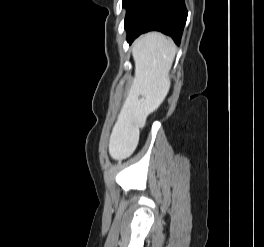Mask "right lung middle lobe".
Instances as JSON below:
<instances>
[{"label":"right lung middle lobe","mask_w":264,"mask_h":247,"mask_svg":"<svg viewBox=\"0 0 264 247\" xmlns=\"http://www.w3.org/2000/svg\"><path fill=\"white\" fill-rule=\"evenodd\" d=\"M131 0H123V7H127Z\"/></svg>","instance_id":"obj_1"}]
</instances>
